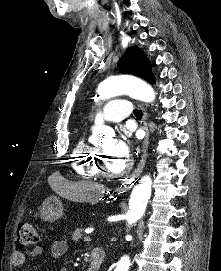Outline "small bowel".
<instances>
[{
	"instance_id": "c3829d8e",
	"label": "small bowel",
	"mask_w": 221,
	"mask_h": 271,
	"mask_svg": "<svg viewBox=\"0 0 221 271\" xmlns=\"http://www.w3.org/2000/svg\"><path fill=\"white\" fill-rule=\"evenodd\" d=\"M67 251V242L63 239L55 240L51 246V255L53 258H59ZM42 253L40 246H35L26 252L16 251L13 253L11 263L14 267L22 266L27 260L38 257ZM60 271H68V268L63 267Z\"/></svg>"
}]
</instances>
